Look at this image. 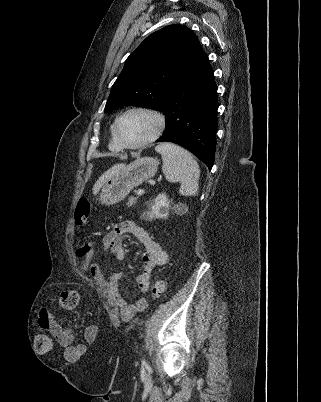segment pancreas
I'll return each instance as SVG.
<instances>
[{"mask_svg":"<svg viewBox=\"0 0 321 402\" xmlns=\"http://www.w3.org/2000/svg\"><path fill=\"white\" fill-rule=\"evenodd\" d=\"M136 202H137V199H136V198L130 197V198L128 199V202H127L126 205L130 208V207H133V205H134Z\"/></svg>","mask_w":321,"mask_h":402,"instance_id":"1","label":"pancreas"}]
</instances>
